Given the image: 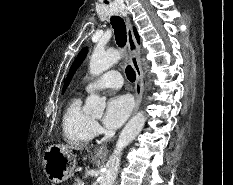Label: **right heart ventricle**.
Returning a JSON list of instances; mask_svg holds the SVG:
<instances>
[{
	"label": "right heart ventricle",
	"mask_w": 233,
	"mask_h": 185,
	"mask_svg": "<svg viewBox=\"0 0 233 185\" xmlns=\"http://www.w3.org/2000/svg\"><path fill=\"white\" fill-rule=\"evenodd\" d=\"M92 119L83 112L81 99L73 98L62 117V130L65 141L73 146L88 144L93 138Z\"/></svg>",
	"instance_id": "right-heart-ventricle-1"
}]
</instances>
